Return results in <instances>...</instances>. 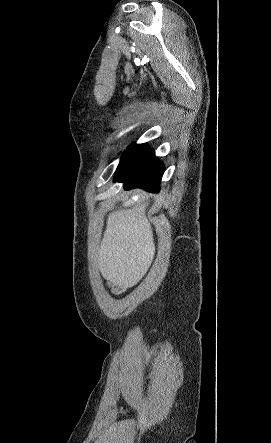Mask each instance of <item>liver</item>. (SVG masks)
Returning a JSON list of instances; mask_svg holds the SVG:
<instances>
[{"label":"liver","mask_w":271,"mask_h":443,"mask_svg":"<svg viewBox=\"0 0 271 443\" xmlns=\"http://www.w3.org/2000/svg\"><path fill=\"white\" fill-rule=\"evenodd\" d=\"M147 202L109 214L98 253L99 269L115 285L132 287L147 273L155 255Z\"/></svg>","instance_id":"obj_1"}]
</instances>
